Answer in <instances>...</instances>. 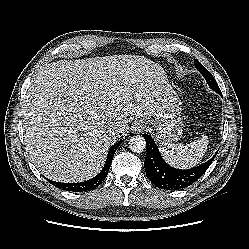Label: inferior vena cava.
Instances as JSON below:
<instances>
[{"instance_id":"602c4592","label":"inferior vena cava","mask_w":249,"mask_h":249,"mask_svg":"<svg viewBox=\"0 0 249 249\" xmlns=\"http://www.w3.org/2000/svg\"><path fill=\"white\" fill-rule=\"evenodd\" d=\"M120 129H114L110 132L111 136L115 137L119 133Z\"/></svg>"}]
</instances>
